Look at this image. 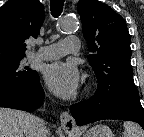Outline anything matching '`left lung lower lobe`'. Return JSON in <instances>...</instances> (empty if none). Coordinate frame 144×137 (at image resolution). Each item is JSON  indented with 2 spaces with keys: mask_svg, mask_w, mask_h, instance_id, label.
Returning a JSON list of instances; mask_svg holds the SVG:
<instances>
[{
  "mask_svg": "<svg viewBox=\"0 0 144 137\" xmlns=\"http://www.w3.org/2000/svg\"><path fill=\"white\" fill-rule=\"evenodd\" d=\"M70 111L78 126L103 119H119L137 122L144 129V109L137 90L111 97L95 93L89 100L73 104Z\"/></svg>",
  "mask_w": 144,
  "mask_h": 137,
  "instance_id": "obj_1",
  "label": "left lung lower lobe"
}]
</instances>
